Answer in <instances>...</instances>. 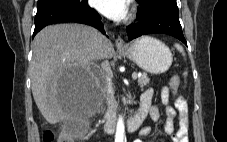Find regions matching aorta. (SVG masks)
Wrapping results in <instances>:
<instances>
[{"mask_svg":"<svg viewBox=\"0 0 227 142\" xmlns=\"http://www.w3.org/2000/svg\"><path fill=\"white\" fill-rule=\"evenodd\" d=\"M125 135V125L123 118L120 116L118 118L117 126H116V133H115V142H123Z\"/></svg>","mask_w":227,"mask_h":142,"instance_id":"obj_1","label":"aorta"}]
</instances>
